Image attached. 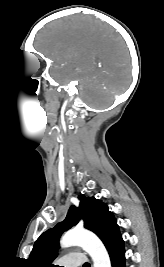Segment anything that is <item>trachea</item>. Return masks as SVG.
I'll use <instances>...</instances> for the list:
<instances>
[{
	"label": "trachea",
	"mask_w": 164,
	"mask_h": 267,
	"mask_svg": "<svg viewBox=\"0 0 164 267\" xmlns=\"http://www.w3.org/2000/svg\"><path fill=\"white\" fill-rule=\"evenodd\" d=\"M83 267H90V264H89V263H85V264L83 265Z\"/></svg>",
	"instance_id": "1"
}]
</instances>
